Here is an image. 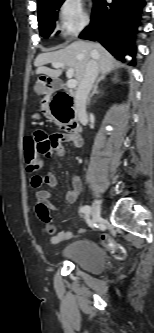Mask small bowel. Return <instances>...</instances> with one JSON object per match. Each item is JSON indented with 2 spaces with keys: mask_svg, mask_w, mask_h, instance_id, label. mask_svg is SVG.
<instances>
[{
  "mask_svg": "<svg viewBox=\"0 0 154 333\" xmlns=\"http://www.w3.org/2000/svg\"><path fill=\"white\" fill-rule=\"evenodd\" d=\"M36 141V148L38 156L43 158H50L52 156L62 157L65 153L64 143L70 142L74 146L79 147L82 144L80 136H75L71 132H58L52 135H47L43 131H37L34 134ZM32 186L37 188L36 198L37 206L36 212L39 219L44 223L43 234L50 230V212L55 210L56 207L52 203L51 193L43 189V186L54 188L57 186V179L54 174L47 173L45 175H34L31 179ZM82 190V181L78 176H73L71 180V187L65 193V200L68 203H74ZM71 231H60L52 236L50 241L53 244H59L63 241L72 238Z\"/></svg>",
  "mask_w": 154,
  "mask_h": 333,
  "instance_id": "obj_1",
  "label": "small bowel"
}]
</instances>
